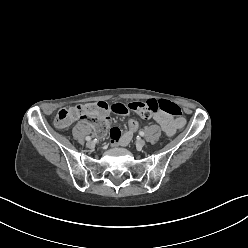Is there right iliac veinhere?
<instances>
[{
	"label": "right iliac vein",
	"mask_w": 248,
	"mask_h": 248,
	"mask_svg": "<svg viewBox=\"0 0 248 248\" xmlns=\"http://www.w3.org/2000/svg\"><path fill=\"white\" fill-rule=\"evenodd\" d=\"M86 145H87L88 148H94L95 142H94V141H88V142L86 143Z\"/></svg>",
	"instance_id": "63e3f726"
}]
</instances>
